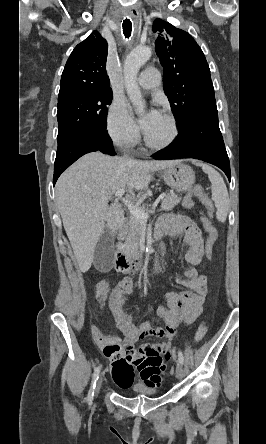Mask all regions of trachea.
Wrapping results in <instances>:
<instances>
[{"instance_id": "obj_1", "label": "trachea", "mask_w": 266, "mask_h": 444, "mask_svg": "<svg viewBox=\"0 0 266 444\" xmlns=\"http://www.w3.org/2000/svg\"><path fill=\"white\" fill-rule=\"evenodd\" d=\"M122 28H123V34H124L125 38H129L131 36V32H132V22L130 21V19L126 18L123 21Z\"/></svg>"}]
</instances>
